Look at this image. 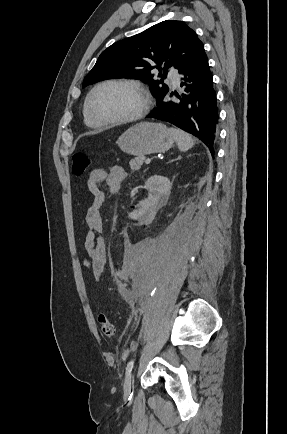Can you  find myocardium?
Listing matches in <instances>:
<instances>
[{
    "label": "myocardium",
    "mask_w": 287,
    "mask_h": 434,
    "mask_svg": "<svg viewBox=\"0 0 287 434\" xmlns=\"http://www.w3.org/2000/svg\"><path fill=\"white\" fill-rule=\"evenodd\" d=\"M106 85H122V86H126V87H129V88L136 90L141 95V97L143 99L142 107L135 114L128 116V117H125V118L110 119V120L99 119L92 112L91 100H92L94 93L98 89H100L101 87H104ZM150 107H151L150 94H149L148 90L140 82L135 81V80L116 79V78L107 79V80H104V81L96 84L88 93L86 100H85V105H84L86 114L98 126L123 125V124H128V123L138 121V120L142 119L148 113V111L150 110Z\"/></svg>",
    "instance_id": "1"
}]
</instances>
